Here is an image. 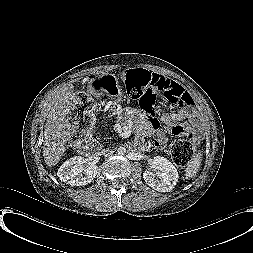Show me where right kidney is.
I'll return each mask as SVG.
<instances>
[{
    "label": "right kidney",
    "instance_id": "ca27d5eb",
    "mask_svg": "<svg viewBox=\"0 0 253 253\" xmlns=\"http://www.w3.org/2000/svg\"><path fill=\"white\" fill-rule=\"evenodd\" d=\"M84 159L75 156L64 162L58 169V177L61 181L72 186H82L91 183L98 173V166L95 164L83 165Z\"/></svg>",
    "mask_w": 253,
    "mask_h": 253
}]
</instances>
